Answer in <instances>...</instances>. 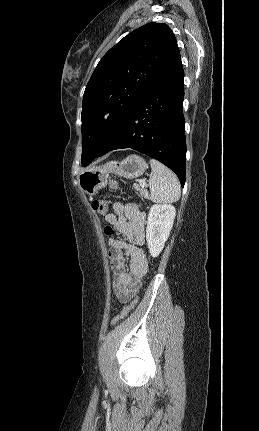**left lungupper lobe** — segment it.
<instances>
[{
    "mask_svg": "<svg viewBox=\"0 0 259 431\" xmlns=\"http://www.w3.org/2000/svg\"><path fill=\"white\" fill-rule=\"evenodd\" d=\"M178 55L169 26L148 23L129 33L103 56L83 97V166L96 157L102 144Z\"/></svg>",
    "mask_w": 259,
    "mask_h": 431,
    "instance_id": "obj_1",
    "label": "left lung upper lobe"
}]
</instances>
